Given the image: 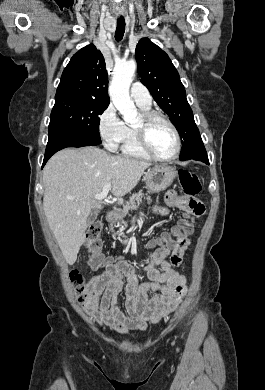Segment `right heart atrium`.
<instances>
[{
	"mask_svg": "<svg viewBox=\"0 0 265 390\" xmlns=\"http://www.w3.org/2000/svg\"><path fill=\"white\" fill-rule=\"evenodd\" d=\"M126 125L119 117L113 104H109L98 118V131L104 145L116 150L125 134Z\"/></svg>",
	"mask_w": 265,
	"mask_h": 390,
	"instance_id": "right-heart-atrium-1",
	"label": "right heart atrium"
}]
</instances>
